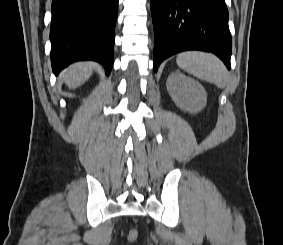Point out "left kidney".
<instances>
[{"label":"left kidney","mask_w":283,"mask_h":245,"mask_svg":"<svg viewBox=\"0 0 283 245\" xmlns=\"http://www.w3.org/2000/svg\"><path fill=\"white\" fill-rule=\"evenodd\" d=\"M166 86L169 95L181 110L196 113L206 106L207 93L198 81L176 71L169 75Z\"/></svg>","instance_id":"1"}]
</instances>
